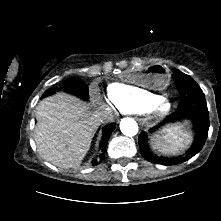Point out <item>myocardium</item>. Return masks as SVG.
Returning <instances> with one entry per match:
<instances>
[{"label": "myocardium", "instance_id": "1", "mask_svg": "<svg viewBox=\"0 0 221 221\" xmlns=\"http://www.w3.org/2000/svg\"><path fill=\"white\" fill-rule=\"evenodd\" d=\"M166 106V107H165ZM172 109V103L166 97H159L154 103H152L147 109L154 117L163 118L167 116Z\"/></svg>", "mask_w": 221, "mask_h": 221}]
</instances>
